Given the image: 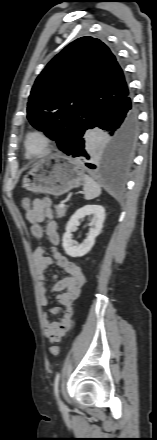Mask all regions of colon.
<instances>
[{"instance_id": "obj_1", "label": "colon", "mask_w": 157, "mask_h": 440, "mask_svg": "<svg viewBox=\"0 0 157 440\" xmlns=\"http://www.w3.org/2000/svg\"><path fill=\"white\" fill-rule=\"evenodd\" d=\"M21 205H22V208H23L26 212H28V211L30 210V208H31V207H30V200H29V198L24 197V198L22 199V201H21ZM59 352H60V347H59L58 345H54V346H52V347L50 348V353H51V355H53V356L58 355Z\"/></svg>"}]
</instances>
